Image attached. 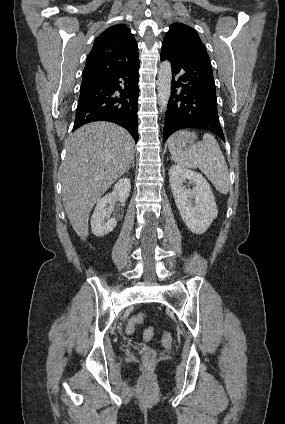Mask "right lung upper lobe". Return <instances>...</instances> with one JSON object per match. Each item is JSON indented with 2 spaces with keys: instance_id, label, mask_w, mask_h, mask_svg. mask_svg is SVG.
I'll use <instances>...</instances> for the list:
<instances>
[{
  "instance_id": "obj_1",
  "label": "right lung upper lobe",
  "mask_w": 285,
  "mask_h": 424,
  "mask_svg": "<svg viewBox=\"0 0 285 424\" xmlns=\"http://www.w3.org/2000/svg\"><path fill=\"white\" fill-rule=\"evenodd\" d=\"M138 62V46L132 33L124 24L114 25L95 39L82 80L102 77Z\"/></svg>"
}]
</instances>
